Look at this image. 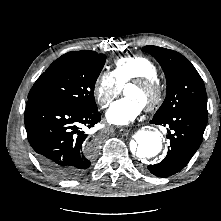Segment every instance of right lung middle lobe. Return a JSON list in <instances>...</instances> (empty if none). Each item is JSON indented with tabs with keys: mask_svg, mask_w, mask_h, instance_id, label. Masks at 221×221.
I'll list each match as a JSON object with an SVG mask.
<instances>
[{
	"mask_svg": "<svg viewBox=\"0 0 221 221\" xmlns=\"http://www.w3.org/2000/svg\"><path fill=\"white\" fill-rule=\"evenodd\" d=\"M105 60L104 54L88 50L62 55L37 79L28 99L38 97L81 111H98L94 86Z\"/></svg>",
	"mask_w": 221,
	"mask_h": 221,
	"instance_id": "right-lung-middle-lobe-1",
	"label": "right lung middle lobe"
}]
</instances>
